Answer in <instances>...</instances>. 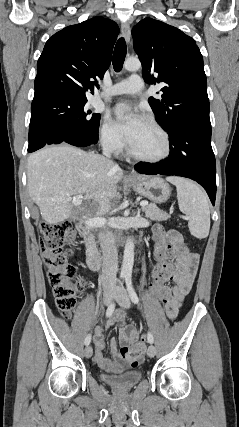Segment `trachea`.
Returning <instances> with one entry per match:
<instances>
[{"label": "trachea", "instance_id": "3493384b", "mask_svg": "<svg viewBox=\"0 0 239 427\" xmlns=\"http://www.w3.org/2000/svg\"><path fill=\"white\" fill-rule=\"evenodd\" d=\"M126 53V42L124 38H120L116 43L113 53V68L116 72H119L122 69Z\"/></svg>", "mask_w": 239, "mask_h": 427}]
</instances>
